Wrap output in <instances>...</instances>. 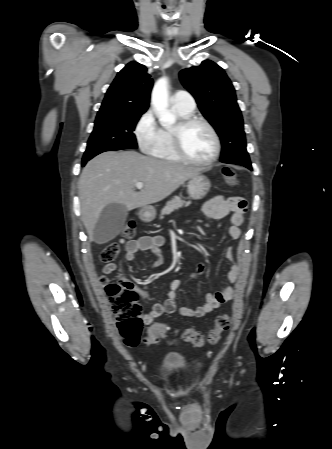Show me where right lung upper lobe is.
<instances>
[{"label": "right lung upper lobe", "instance_id": "cb5924a9", "mask_svg": "<svg viewBox=\"0 0 332 449\" xmlns=\"http://www.w3.org/2000/svg\"><path fill=\"white\" fill-rule=\"evenodd\" d=\"M152 86L147 68L137 62H130L110 85L97 116L144 113L149 107Z\"/></svg>", "mask_w": 332, "mask_h": 449}]
</instances>
